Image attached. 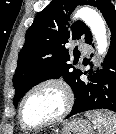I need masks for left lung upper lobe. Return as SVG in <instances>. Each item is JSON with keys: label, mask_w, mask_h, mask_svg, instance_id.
Masks as SVG:
<instances>
[{"label": "left lung upper lobe", "mask_w": 116, "mask_h": 134, "mask_svg": "<svg viewBox=\"0 0 116 134\" xmlns=\"http://www.w3.org/2000/svg\"><path fill=\"white\" fill-rule=\"evenodd\" d=\"M85 4L97 7L104 18L114 7L110 0H52L36 15L26 32L13 76L15 107L28 90L48 79L62 77L73 90L81 71L69 63L70 55L64 44L80 38H85L89 44L92 35L82 21H77L70 29L65 25L74 8Z\"/></svg>", "instance_id": "left-lung-upper-lobe-1"}]
</instances>
